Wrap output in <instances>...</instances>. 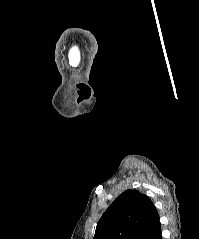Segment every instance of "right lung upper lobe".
Wrapping results in <instances>:
<instances>
[{"instance_id":"1","label":"right lung upper lobe","mask_w":199,"mask_h":239,"mask_svg":"<svg viewBox=\"0 0 199 239\" xmlns=\"http://www.w3.org/2000/svg\"><path fill=\"white\" fill-rule=\"evenodd\" d=\"M159 222L150 198L126 190L100 218L93 239H142Z\"/></svg>"}]
</instances>
